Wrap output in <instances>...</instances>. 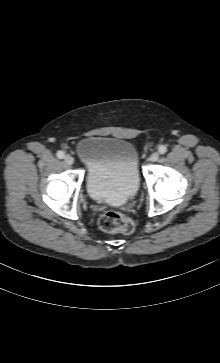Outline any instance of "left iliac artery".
I'll use <instances>...</instances> for the list:
<instances>
[{
  "instance_id": "1",
  "label": "left iliac artery",
  "mask_w": 220,
  "mask_h": 363,
  "mask_svg": "<svg viewBox=\"0 0 220 363\" xmlns=\"http://www.w3.org/2000/svg\"><path fill=\"white\" fill-rule=\"evenodd\" d=\"M160 154H165L167 152V147L164 145H161L158 149Z\"/></svg>"
}]
</instances>
